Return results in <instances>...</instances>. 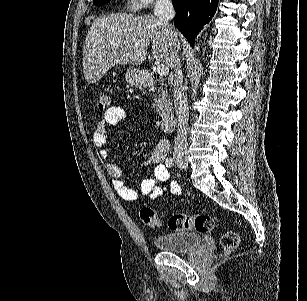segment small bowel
Masks as SVG:
<instances>
[{"instance_id": "c3829d8e", "label": "small bowel", "mask_w": 307, "mask_h": 301, "mask_svg": "<svg viewBox=\"0 0 307 301\" xmlns=\"http://www.w3.org/2000/svg\"><path fill=\"white\" fill-rule=\"evenodd\" d=\"M128 110L121 106H111L104 114L103 118L97 123L93 132V143L99 151L102 158L106 161V170L108 175L113 180V186L117 194L124 200L134 201L139 197L148 196L154 200L162 196L165 191H170L173 195L181 194V187L177 182H170L164 185L169 180V171L165 166L164 159L169 152V144L166 141L159 142L151 152L147 164L154 165L153 175L144 179L139 187L138 192L127 187L122 180L121 168L109 161L107 151V127L117 126L126 117Z\"/></svg>"}]
</instances>
